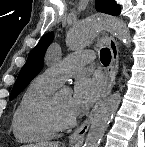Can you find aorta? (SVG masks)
I'll return each mask as SVG.
<instances>
[{"label": "aorta", "mask_w": 145, "mask_h": 147, "mask_svg": "<svg viewBox=\"0 0 145 147\" xmlns=\"http://www.w3.org/2000/svg\"><path fill=\"white\" fill-rule=\"evenodd\" d=\"M100 30H108L123 42L126 47H130L131 36L126 24L119 18L106 15L84 21L70 28L67 34V43L73 50L85 47L92 43ZM120 102V94L114 93L99 105L92 118L91 126L83 147H99Z\"/></svg>", "instance_id": "1"}]
</instances>
